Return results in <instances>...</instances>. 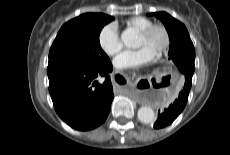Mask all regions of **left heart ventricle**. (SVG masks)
<instances>
[{"instance_id": "b2bd125f", "label": "left heart ventricle", "mask_w": 230, "mask_h": 155, "mask_svg": "<svg viewBox=\"0 0 230 155\" xmlns=\"http://www.w3.org/2000/svg\"><path fill=\"white\" fill-rule=\"evenodd\" d=\"M163 43V34L160 31H156L149 38H144L139 35L136 47L141 48L146 46L154 53V55H156L162 47Z\"/></svg>"}]
</instances>
